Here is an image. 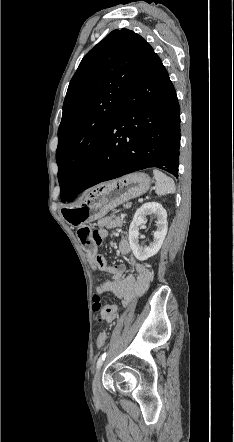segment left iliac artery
I'll list each match as a JSON object with an SVG mask.
<instances>
[{
  "instance_id": "obj_1",
  "label": "left iliac artery",
  "mask_w": 234,
  "mask_h": 442,
  "mask_svg": "<svg viewBox=\"0 0 234 442\" xmlns=\"http://www.w3.org/2000/svg\"><path fill=\"white\" fill-rule=\"evenodd\" d=\"M105 357H106V353H104L100 356V358L98 359L97 364H96L97 369H99L101 367L103 361L105 360Z\"/></svg>"
}]
</instances>
